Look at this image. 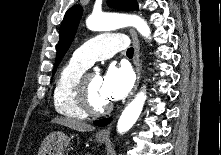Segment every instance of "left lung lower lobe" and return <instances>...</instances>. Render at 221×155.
Here are the masks:
<instances>
[{"instance_id":"1","label":"left lung lower lobe","mask_w":221,"mask_h":155,"mask_svg":"<svg viewBox=\"0 0 221 155\" xmlns=\"http://www.w3.org/2000/svg\"><path fill=\"white\" fill-rule=\"evenodd\" d=\"M110 121H111V118H106V119L97 120V121L94 122V124L97 125V126L102 127V126H105V125L109 124Z\"/></svg>"}]
</instances>
